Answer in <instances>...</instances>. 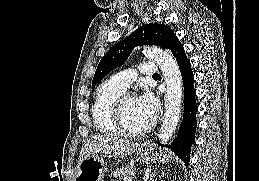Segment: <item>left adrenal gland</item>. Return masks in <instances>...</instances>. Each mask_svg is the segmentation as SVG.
Listing matches in <instances>:
<instances>
[{
	"mask_svg": "<svg viewBox=\"0 0 259 181\" xmlns=\"http://www.w3.org/2000/svg\"><path fill=\"white\" fill-rule=\"evenodd\" d=\"M162 174H163V175L159 176L160 181H163V180H162V177H164V172H162ZM149 181H157L156 173H153V174L150 175Z\"/></svg>",
	"mask_w": 259,
	"mask_h": 181,
	"instance_id": "a2214340",
	"label": "left adrenal gland"
}]
</instances>
